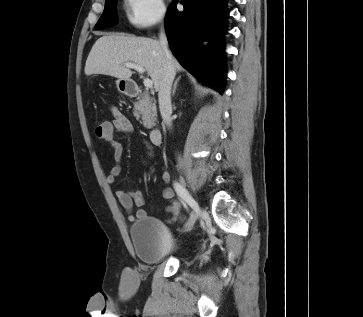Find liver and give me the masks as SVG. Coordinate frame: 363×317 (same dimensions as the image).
<instances>
[{
	"label": "liver",
	"mask_w": 363,
	"mask_h": 317,
	"mask_svg": "<svg viewBox=\"0 0 363 317\" xmlns=\"http://www.w3.org/2000/svg\"><path fill=\"white\" fill-rule=\"evenodd\" d=\"M175 71L182 69L172 58ZM135 63L144 67L156 91L163 72L164 53L160 42L151 38L110 34L100 37L93 45L85 65V75L102 74L129 80L133 72L124 66Z\"/></svg>",
	"instance_id": "6515ba94"
}]
</instances>
